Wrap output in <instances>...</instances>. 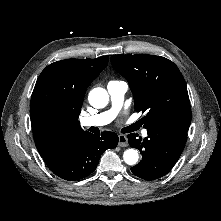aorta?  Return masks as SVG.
<instances>
[{
    "mask_svg": "<svg viewBox=\"0 0 221 221\" xmlns=\"http://www.w3.org/2000/svg\"><path fill=\"white\" fill-rule=\"evenodd\" d=\"M89 103L95 108H104L109 102V95L103 88H94L88 96ZM123 159L128 165H135L138 162L139 155L135 149H127L123 154Z\"/></svg>",
    "mask_w": 221,
    "mask_h": 221,
    "instance_id": "762f6f07",
    "label": "aorta"
}]
</instances>
